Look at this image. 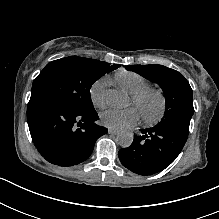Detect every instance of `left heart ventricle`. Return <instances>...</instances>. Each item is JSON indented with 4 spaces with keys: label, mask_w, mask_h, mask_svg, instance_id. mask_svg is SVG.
Masks as SVG:
<instances>
[{
    "label": "left heart ventricle",
    "mask_w": 219,
    "mask_h": 219,
    "mask_svg": "<svg viewBox=\"0 0 219 219\" xmlns=\"http://www.w3.org/2000/svg\"><path fill=\"white\" fill-rule=\"evenodd\" d=\"M128 105L135 106L139 110L140 114L148 118L155 117L160 109V101L155 95H148L139 101L130 99Z\"/></svg>",
    "instance_id": "b2bd125f"
}]
</instances>
